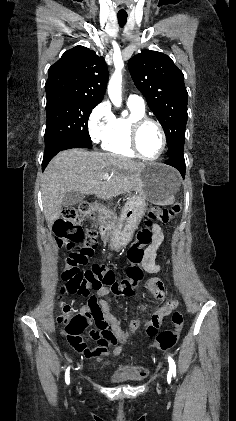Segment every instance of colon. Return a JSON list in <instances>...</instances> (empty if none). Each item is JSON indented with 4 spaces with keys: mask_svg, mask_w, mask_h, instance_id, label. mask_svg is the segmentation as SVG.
Listing matches in <instances>:
<instances>
[{
    "mask_svg": "<svg viewBox=\"0 0 236 421\" xmlns=\"http://www.w3.org/2000/svg\"><path fill=\"white\" fill-rule=\"evenodd\" d=\"M180 211V204L149 209L146 227L137 233L136 242L128 249L127 258L130 266L127 268L126 277L118 280L114 270L104 264H94L84 271L80 270V267L84 266L93 255L97 246V232L94 228L85 230L80 226L78 212L75 208H64L54 224V234L58 245L66 246L70 252L62 274L64 282L62 292L86 297L90 295L91 291L104 290L111 297L132 296L134 288L144 277L141 262L145 258V247L153 245V234L149 226L153 221L168 222L175 218ZM156 251L157 248L153 250V257ZM90 308L92 307H84L76 312L69 304L61 303L60 314L57 318L58 323L64 326L69 344L86 357L105 353L107 345V341L103 339L100 348L90 349L82 337V333L91 319ZM171 321L173 328L158 333L151 345L152 348L165 351L176 344L183 328V314L179 311L174 312ZM159 322L157 320L154 326ZM149 331L155 333L156 329L150 327Z\"/></svg>",
    "mask_w": 236,
    "mask_h": 421,
    "instance_id": "5ec220e1",
    "label": "colon"
}]
</instances>
